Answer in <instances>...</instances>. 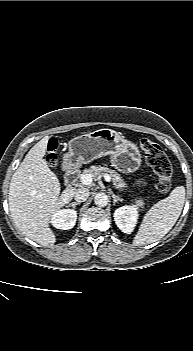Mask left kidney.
Segmentation results:
<instances>
[{
	"label": "left kidney",
	"instance_id": "left-kidney-1",
	"mask_svg": "<svg viewBox=\"0 0 193 351\" xmlns=\"http://www.w3.org/2000/svg\"><path fill=\"white\" fill-rule=\"evenodd\" d=\"M139 211L135 205L119 207L114 212V221L117 227L124 233L130 234L138 221Z\"/></svg>",
	"mask_w": 193,
	"mask_h": 351
}]
</instances>
